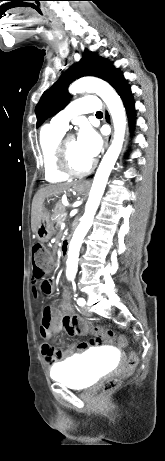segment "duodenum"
<instances>
[{
  "label": "duodenum",
  "mask_w": 165,
  "mask_h": 461,
  "mask_svg": "<svg viewBox=\"0 0 165 461\" xmlns=\"http://www.w3.org/2000/svg\"><path fill=\"white\" fill-rule=\"evenodd\" d=\"M68 242V237L65 238L64 243L67 244Z\"/></svg>",
  "instance_id": "1"
}]
</instances>
